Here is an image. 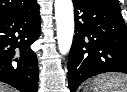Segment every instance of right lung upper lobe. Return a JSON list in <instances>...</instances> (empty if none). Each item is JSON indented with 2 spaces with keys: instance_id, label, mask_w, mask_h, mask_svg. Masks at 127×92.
Instances as JSON below:
<instances>
[{
  "instance_id": "right-lung-upper-lobe-1",
  "label": "right lung upper lobe",
  "mask_w": 127,
  "mask_h": 92,
  "mask_svg": "<svg viewBox=\"0 0 127 92\" xmlns=\"http://www.w3.org/2000/svg\"><path fill=\"white\" fill-rule=\"evenodd\" d=\"M36 5V0H0V17L27 11Z\"/></svg>"
}]
</instances>
